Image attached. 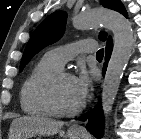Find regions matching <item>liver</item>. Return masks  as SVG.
Masks as SVG:
<instances>
[{"mask_svg": "<svg viewBox=\"0 0 141 139\" xmlns=\"http://www.w3.org/2000/svg\"><path fill=\"white\" fill-rule=\"evenodd\" d=\"M63 121H56L43 116H22L12 121L10 139H30L33 136L57 134L63 127Z\"/></svg>", "mask_w": 141, "mask_h": 139, "instance_id": "liver-1", "label": "liver"}]
</instances>
